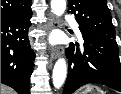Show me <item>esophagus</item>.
<instances>
[{
    "label": "esophagus",
    "instance_id": "esophagus-1",
    "mask_svg": "<svg viewBox=\"0 0 121 94\" xmlns=\"http://www.w3.org/2000/svg\"><path fill=\"white\" fill-rule=\"evenodd\" d=\"M58 25V22L56 21L55 17L51 14L49 16V21L46 25V30L51 31L52 29L56 28ZM60 55L59 48H54L51 50L50 57L51 59H56Z\"/></svg>",
    "mask_w": 121,
    "mask_h": 94
}]
</instances>
